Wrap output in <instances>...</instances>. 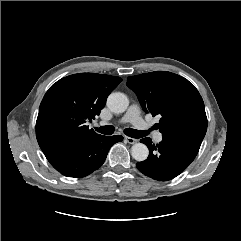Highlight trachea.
Segmentation results:
<instances>
[{
	"label": "trachea",
	"instance_id": "obj_1",
	"mask_svg": "<svg viewBox=\"0 0 241 241\" xmlns=\"http://www.w3.org/2000/svg\"><path fill=\"white\" fill-rule=\"evenodd\" d=\"M95 130L104 135H111L114 133L115 128L113 126L108 125V126H101L99 128L95 127ZM124 133L127 136L132 137V138H142L147 135V132H145V131H139V130L131 129V128H126L124 130Z\"/></svg>",
	"mask_w": 241,
	"mask_h": 241
}]
</instances>
